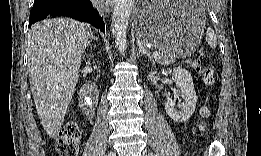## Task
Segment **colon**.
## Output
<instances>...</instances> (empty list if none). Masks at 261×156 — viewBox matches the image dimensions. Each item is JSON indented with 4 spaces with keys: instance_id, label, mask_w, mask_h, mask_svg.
Instances as JSON below:
<instances>
[{
    "instance_id": "colon-1",
    "label": "colon",
    "mask_w": 261,
    "mask_h": 156,
    "mask_svg": "<svg viewBox=\"0 0 261 156\" xmlns=\"http://www.w3.org/2000/svg\"><path fill=\"white\" fill-rule=\"evenodd\" d=\"M192 69L197 72L203 79L207 87H213L215 84V72L212 68L205 66L200 60L191 62ZM210 115L207 107L201 110V116L206 120ZM204 128V124H202ZM81 139V130L78 122L74 118L68 119L59 132V138L56 144L58 155L77 156L79 154V142Z\"/></svg>"
}]
</instances>
